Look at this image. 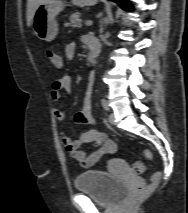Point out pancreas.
Here are the masks:
<instances>
[{
	"label": "pancreas",
	"mask_w": 188,
	"mask_h": 213,
	"mask_svg": "<svg viewBox=\"0 0 188 213\" xmlns=\"http://www.w3.org/2000/svg\"><path fill=\"white\" fill-rule=\"evenodd\" d=\"M81 13L75 12L72 13L69 17V22H66L64 25L66 27L71 26L73 28H79L82 26V20L80 19Z\"/></svg>",
	"instance_id": "cf45deb5"
}]
</instances>
